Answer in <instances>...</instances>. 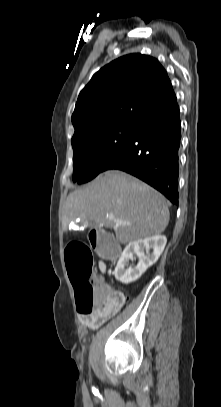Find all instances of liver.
I'll use <instances>...</instances> for the list:
<instances>
[{"mask_svg": "<svg viewBox=\"0 0 221 407\" xmlns=\"http://www.w3.org/2000/svg\"><path fill=\"white\" fill-rule=\"evenodd\" d=\"M169 217L162 194L125 172L109 170L69 194L63 223L81 219L95 228L114 229L117 241L126 244L161 234Z\"/></svg>", "mask_w": 221, "mask_h": 407, "instance_id": "1", "label": "liver"}]
</instances>
